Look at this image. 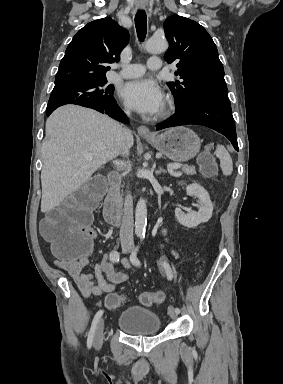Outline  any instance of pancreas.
<instances>
[{
    "instance_id": "obj_1",
    "label": "pancreas",
    "mask_w": 283,
    "mask_h": 384,
    "mask_svg": "<svg viewBox=\"0 0 283 384\" xmlns=\"http://www.w3.org/2000/svg\"><path fill=\"white\" fill-rule=\"evenodd\" d=\"M182 172H184V174H189V176L196 174V170L193 168V166H183Z\"/></svg>"
}]
</instances>
